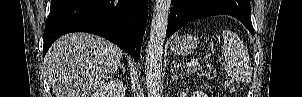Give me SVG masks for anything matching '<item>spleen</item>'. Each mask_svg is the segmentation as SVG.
Returning a JSON list of instances; mask_svg holds the SVG:
<instances>
[{
    "label": "spleen",
    "instance_id": "1",
    "mask_svg": "<svg viewBox=\"0 0 302 97\" xmlns=\"http://www.w3.org/2000/svg\"><path fill=\"white\" fill-rule=\"evenodd\" d=\"M224 39L222 55L225 59L224 69L232 78L249 83L252 78V68L243 42L230 30H223Z\"/></svg>",
    "mask_w": 302,
    "mask_h": 97
}]
</instances>
